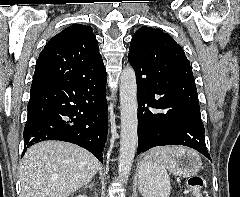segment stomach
Returning a JSON list of instances; mask_svg holds the SVG:
<instances>
[{"mask_svg": "<svg viewBox=\"0 0 240 197\" xmlns=\"http://www.w3.org/2000/svg\"><path fill=\"white\" fill-rule=\"evenodd\" d=\"M152 157L148 155L145 158V162L148 160H151ZM144 162V163H145ZM143 165V163H142ZM141 165V166H142ZM140 166V168H141ZM202 163L200 160L199 155L192 151L191 153H184V154H176L172 157L171 162L167 163L166 167L176 176L180 177H190L196 174L199 169L201 168ZM143 184V181L140 178V172H139V186L141 189V186Z\"/></svg>", "mask_w": 240, "mask_h": 197, "instance_id": "0dacf381", "label": "stomach"}]
</instances>
